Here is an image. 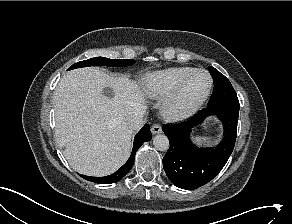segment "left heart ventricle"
Here are the masks:
<instances>
[{"label": "left heart ventricle", "mask_w": 292, "mask_h": 224, "mask_svg": "<svg viewBox=\"0 0 292 224\" xmlns=\"http://www.w3.org/2000/svg\"><path fill=\"white\" fill-rule=\"evenodd\" d=\"M209 83L210 79L206 73H198L194 75L189 80L183 91L181 103L183 105H189L198 100L206 93Z\"/></svg>", "instance_id": "b2bd125f"}]
</instances>
